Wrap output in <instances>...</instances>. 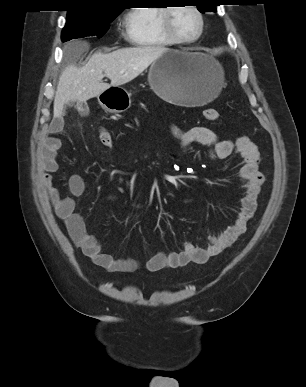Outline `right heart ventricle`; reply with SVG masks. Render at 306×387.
Masks as SVG:
<instances>
[{
  "label": "right heart ventricle",
  "instance_id": "obj_1",
  "mask_svg": "<svg viewBox=\"0 0 306 387\" xmlns=\"http://www.w3.org/2000/svg\"><path fill=\"white\" fill-rule=\"evenodd\" d=\"M165 7L147 6L130 10L123 22L126 40L143 48H162L174 45L163 32L162 15Z\"/></svg>",
  "mask_w": 306,
  "mask_h": 387
}]
</instances>
